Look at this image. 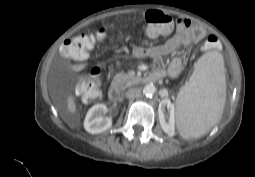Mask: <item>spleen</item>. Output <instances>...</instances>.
Listing matches in <instances>:
<instances>
[{"instance_id":"spleen-1","label":"spleen","mask_w":255,"mask_h":177,"mask_svg":"<svg viewBox=\"0 0 255 177\" xmlns=\"http://www.w3.org/2000/svg\"><path fill=\"white\" fill-rule=\"evenodd\" d=\"M226 99L224 59L217 51L205 53L194 64V72L176 100V120L180 135L197 138L220 119Z\"/></svg>"}]
</instances>
